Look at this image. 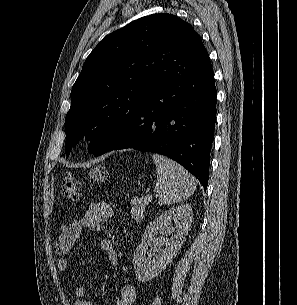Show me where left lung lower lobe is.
Listing matches in <instances>:
<instances>
[{
  "label": "left lung lower lobe",
  "instance_id": "obj_1",
  "mask_svg": "<svg viewBox=\"0 0 297 305\" xmlns=\"http://www.w3.org/2000/svg\"><path fill=\"white\" fill-rule=\"evenodd\" d=\"M216 122V87L211 64L170 79L138 108L121 136L101 153L133 148L180 163L206 190ZM100 154V155H101Z\"/></svg>",
  "mask_w": 297,
  "mask_h": 305
}]
</instances>
